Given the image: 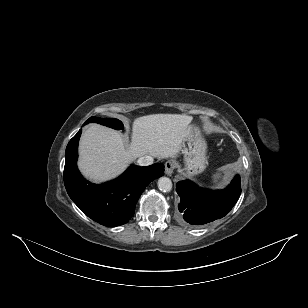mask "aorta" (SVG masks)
<instances>
[{
	"instance_id": "1",
	"label": "aorta",
	"mask_w": 308,
	"mask_h": 308,
	"mask_svg": "<svg viewBox=\"0 0 308 308\" xmlns=\"http://www.w3.org/2000/svg\"><path fill=\"white\" fill-rule=\"evenodd\" d=\"M158 188L163 192H169L172 189V181L168 177H161L158 180Z\"/></svg>"
}]
</instances>
